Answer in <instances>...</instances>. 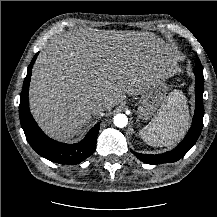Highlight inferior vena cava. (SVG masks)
Returning <instances> with one entry per match:
<instances>
[{
    "instance_id": "inferior-vena-cava-1",
    "label": "inferior vena cava",
    "mask_w": 217,
    "mask_h": 217,
    "mask_svg": "<svg viewBox=\"0 0 217 217\" xmlns=\"http://www.w3.org/2000/svg\"><path fill=\"white\" fill-rule=\"evenodd\" d=\"M105 103L101 101L91 102L89 104V110L92 114H98L104 110Z\"/></svg>"
}]
</instances>
